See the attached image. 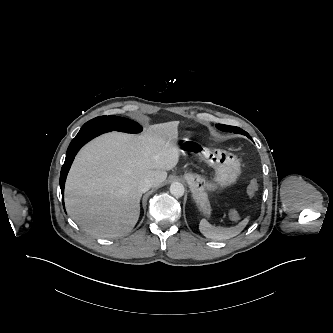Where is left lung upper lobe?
<instances>
[{
  "label": "left lung upper lobe",
  "mask_w": 333,
  "mask_h": 333,
  "mask_svg": "<svg viewBox=\"0 0 333 333\" xmlns=\"http://www.w3.org/2000/svg\"><path fill=\"white\" fill-rule=\"evenodd\" d=\"M216 127L222 131L225 132H234V133H240L243 134L247 133L244 130L240 129L239 127H235V126H228V125H223V124H217Z\"/></svg>",
  "instance_id": "left-lung-upper-lobe-1"
}]
</instances>
